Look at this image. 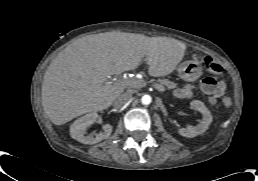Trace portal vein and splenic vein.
<instances>
[{
	"label": "portal vein and splenic vein",
	"instance_id": "portal-vein-and-splenic-vein-1",
	"mask_svg": "<svg viewBox=\"0 0 258 181\" xmlns=\"http://www.w3.org/2000/svg\"><path fill=\"white\" fill-rule=\"evenodd\" d=\"M117 86H130V87H143L145 86L143 80H130V81H118L115 83ZM153 87L157 89L160 92H164L165 88L163 86H160L158 84H153Z\"/></svg>",
	"mask_w": 258,
	"mask_h": 181
}]
</instances>
